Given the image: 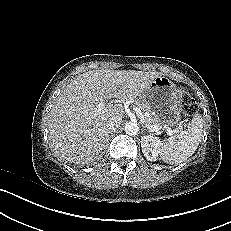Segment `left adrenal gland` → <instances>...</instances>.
I'll list each match as a JSON object with an SVG mask.
<instances>
[{"label":"left adrenal gland","mask_w":231,"mask_h":231,"mask_svg":"<svg viewBox=\"0 0 231 231\" xmlns=\"http://www.w3.org/2000/svg\"><path fill=\"white\" fill-rule=\"evenodd\" d=\"M143 130H146L144 126H143Z\"/></svg>","instance_id":"left-adrenal-gland-1"}]
</instances>
